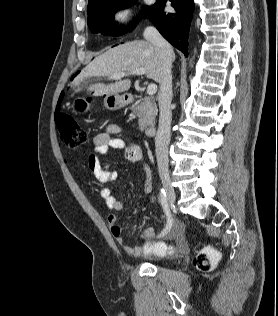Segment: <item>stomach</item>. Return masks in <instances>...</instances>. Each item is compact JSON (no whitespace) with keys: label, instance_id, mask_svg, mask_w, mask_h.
<instances>
[{"label":"stomach","instance_id":"1","mask_svg":"<svg viewBox=\"0 0 278 316\" xmlns=\"http://www.w3.org/2000/svg\"><path fill=\"white\" fill-rule=\"evenodd\" d=\"M128 101L125 96L117 94H109L104 98V106L109 110H118L124 107ZM73 112L76 114H84L90 109V103L86 98L77 97L72 102Z\"/></svg>","mask_w":278,"mask_h":316}]
</instances>
